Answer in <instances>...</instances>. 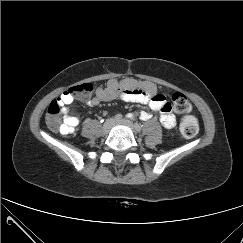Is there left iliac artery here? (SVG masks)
Listing matches in <instances>:
<instances>
[{
	"label": "left iliac artery",
	"mask_w": 243,
	"mask_h": 243,
	"mask_svg": "<svg viewBox=\"0 0 243 243\" xmlns=\"http://www.w3.org/2000/svg\"><path fill=\"white\" fill-rule=\"evenodd\" d=\"M135 126L138 128L139 131L141 130V127H142V126H140V124L135 123Z\"/></svg>",
	"instance_id": "left-iliac-artery-1"
}]
</instances>
